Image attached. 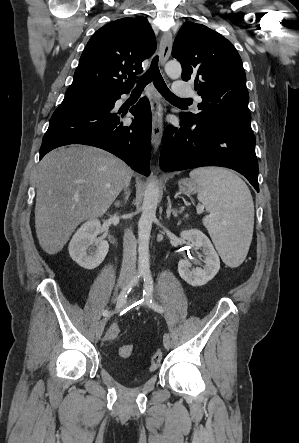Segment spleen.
Returning a JSON list of instances; mask_svg holds the SVG:
<instances>
[{
	"instance_id": "1",
	"label": "spleen",
	"mask_w": 299,
	"mask_h": 443,
	"mask_svg": "<svg viewBox=\"0 0 299 443\" xmlns=\"http://www.w3.org/2000/svg\"><path fill=\"white\" fill-rule=\"evenodd\" d=\"M198 186V199L209 212L203 219L222 260L229 267L245 259L253 234L254 205L251 193L235 173L208 167L190 172Z\"/></svg>"
}]
</instances>
